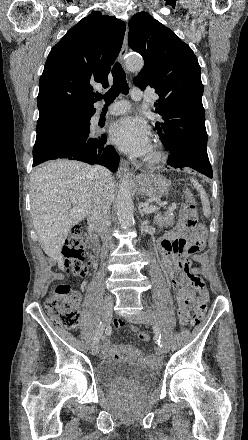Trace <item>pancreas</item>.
Returning a JSON list of instances; mask_svg holds the SVG:
<instances>
[{"label":"pancreas","mask_w":248,"mask_h":440,"mask_svg":"<svg viewBox=\"0 0 248 440\" xmlns=\"http://www.w3.org/2000/svg\"><path fill=\"white\" fill-rule=\"evenodd\" d=\"M174 207H170L164 214H161L160 212H157L154 215L153 224L157 225L160 228H167L174 223Z\"/></svg>","instance_id":"cf45deb5"}]
</instances>
